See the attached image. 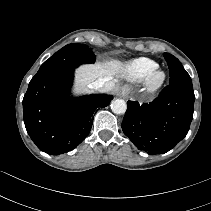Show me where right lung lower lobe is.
Returning <instances> with one entry per match:
<instances>
[{
  "mask_svg": "<svg viewBox=\"0 0 211 211\" xmlns=\"http://www.w3.org/2000/svg\"><path fill=\"white\" fill-rule=\"evenodd\" d=\"M74 68L36 74L23 98L26 130L37 147L49 154L69 152L89 134L93 115L109 105L112 95L70 98Z\"/></svg>",
  "mask_w": 211,
  "mask_h": 211,
  "instance_id": "1",
  "label": "right lung lower lobe"
}]
</instances>
